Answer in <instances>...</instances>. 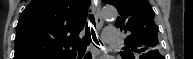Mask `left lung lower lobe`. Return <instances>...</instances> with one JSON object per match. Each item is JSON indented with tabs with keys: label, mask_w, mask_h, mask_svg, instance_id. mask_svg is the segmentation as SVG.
Segmentation results:
<instances>
[{
	"label": "left lung lower lobe",
	"mask_w": 193,
	"mask_h": 59,
	"mask_svg": "<svg viewBox=\"0 0 193 59\" xmlns=\"http://www.w3.org/2000/svg\"><path fill=\"white\" fill-rule=\"evenodd\" d=\"M141 59H163L164 57L161 56L158 52V50H153L144 53L143 55L140 56Z\"/></svg>",
	"instance_id": "obj_1"
}]
</instances>
